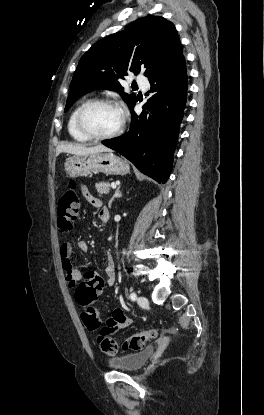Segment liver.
<instances>
[{"label":"liver","instance_id":"liver-1","mask_svg":"<svg viewBox=\"0 0 264 415\" xmlns=\"http://www.w3.org/2000/svg\"><path fill=\"white\" fill-rule=\"evenodd\" d=\"M111 152V149L103 145L87 147L79 144H61L56 149V155L60 153H69L73 155H89L94 153Z\"/></svg>","mask_w":264,"mask_h":415}]
</instances>
